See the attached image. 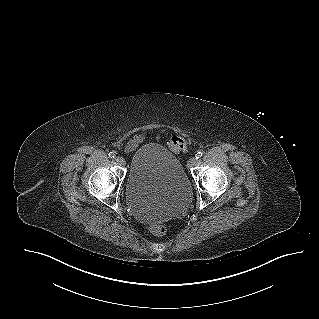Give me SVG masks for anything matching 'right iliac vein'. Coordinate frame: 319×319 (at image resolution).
<instances>
[{"instance_id": "right-iliac-vein-1", "label": "right iliac vein", "mask_w": 319, "mask_h": 319, "mask_svg": "<svg viewBox=\"0 0 319 319\" xmlns=\"http://www.w3.org/2000/svg\"><path fill=\"white\" fill-rule=\"evenodd\" d=\"M114 160L118 165H121V166L125 165V160L121 156H116Z\"/></svg>"}]
</instances>
